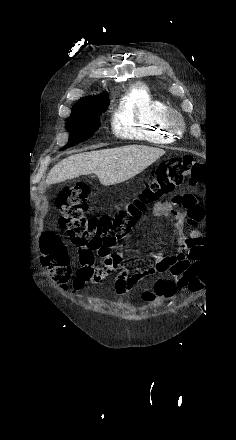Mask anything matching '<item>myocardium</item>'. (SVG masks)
Wrapping results in <instances>:
<instances>
[{
    "label": "myocardium",
    "mask_w": 236,
    "mask_h": 440,
    "mask_svg": "<svg viewBox=\"0 0 236 440\" xmlns=\"http://www.w3.org/2000/svg\"><path fill=\"white\" fill-rule=\"evenodd\" d=\"M164 121L174 135L182 133L184 128V118L178 110L168 108L165 113Z\"/></svg>",
    "instance_id": "1"
}]
</instances>
